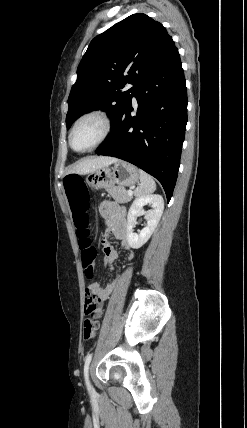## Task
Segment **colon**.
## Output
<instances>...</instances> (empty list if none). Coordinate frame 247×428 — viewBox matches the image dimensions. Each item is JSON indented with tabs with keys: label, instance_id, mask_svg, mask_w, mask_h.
I'll return each mask as SVG.
<instances>
[{
	"label": "colon",
	"instance_id": "5ec220e1",
	"mask_svg": "<svg viewBox=\"0 0 247 428\" xmlns=\"http://www.w3.org/2000/svg\"><path fill=\"white\" fill-rule=\"evenodd\" d=\"M64 188L70 208L78 228L81 261L87 279L94 277V262L96 248L90 237L89 193L84 180L76 175H69L64 179ZM105 301L102 298H87L85 301V315L89 316L84 322L83 337L85 340L93 339L99 330L97 320L103 315Z\"/></svg>",
	"mask_w": 247,
	"mask_h": 428
}]
</instances>
